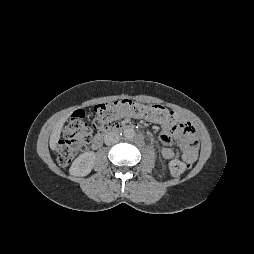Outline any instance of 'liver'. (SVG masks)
<instances>
[{"label":"liver","instance_id":"obj_1","mask_svg":"<svg viewBox=\"0 0 254 254\" xmlns=\"http://www.w3.org/2000/svg\"><path fill=\"white\" fill-rule=\"evenodd\" d=\"M68 116H65L63 118H61L54 126L52 133L50 135V141H49V145L51 150H56L57 148V144L58 141L60 140V134H61V130L62 127L64 125V123L66 122Z\"/></svg>","mask_w":254,"mask_h":254}]
</instances>
